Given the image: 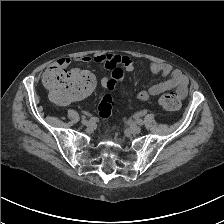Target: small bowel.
Returning a JSON list of instances; mask_svg holds the SVG:
<instances>
[{"label":"small bowel","instance_id":"obj_1","mask_svg":"<svg viewBox=\"0 0 224 224\" xmlns=\"http://www.w3.org/2000/svg\"><path fill=\"white\" fill-rule=\"evenodd\" d=\"M78 62L89 63L96 62L102 64L107 69H114L116 67H122L128 72H132L135 69L134 61L124 55L119 54H101L93 57L82 56L76 59ZM71 62L69 58H61L56 62V66L50 67L46 70L48 75L56 67H66ZM150 70L155 74H161L163 77H168L166 80L154 84L147 90H143L138 93L137 98L141 101H147L151 97L157 96L167 90L175 89L180 98H184L188 92V79L178 69H174L172 66L164 63H151Z\"/></svg>","mask_w":224,"mask_h":224}]
</instances>
